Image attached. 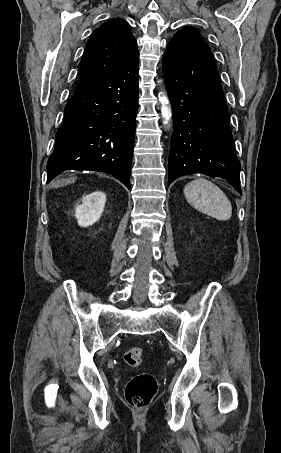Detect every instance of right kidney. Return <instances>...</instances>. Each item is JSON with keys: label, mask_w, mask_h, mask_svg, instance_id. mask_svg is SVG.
Returning <instances> with one entry per match:
<instances>
[{"label": "right kidney", "mask_w": 281, "mask_h": 453, "mask_svg": "<svg viewBox=\"0 0 281 453\" xmlns=\"http://www.w3.org/2000/svg\"><path fill=\"white\" fill-rule=\"evenodd\" d=\"M106 194L102 190H94L82 198V204H77L75 216L80 227H89L99 220L105 206Z\"/></svg>", "instance_id": "obj_1"}]
</instances>
